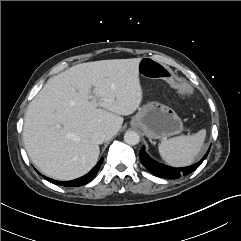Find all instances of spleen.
Returning a JSON list of instances; mask_svg holds the SVG:
<instances>
[{"mask_svg":"<svg viewBox=\"0 0 241 241\" xmlns=\"http://www.w3.org/2000/svg\"><path fill=\"white\" fill-rule=\"evenodd\" d=\"M206 137V130L186 136L180 135L159 144L162 159L173 167H184L193 164L199 154Z\"/></svg>","mask_w":241,"mask_h":241,"instance_id":"obj_1","label":"spleen"}]
</instances>
